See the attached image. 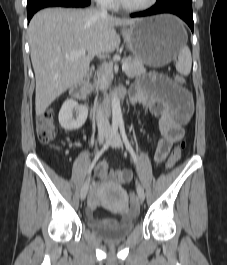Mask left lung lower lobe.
<instances>
[{
  "instance_id": "obj_1",
  "label": "left lung lower lobe",
  "mask_w": 227,
  "mask_h": 265,
  "mask_svg": "<svg viewBox=\"0 0 227 265\" xmlns=\"http://www.w3.org/2000/svg\"><path fill=\"white\" fill-rule=\"evenodd\" d=\"M161 13H171L183 19L193 31V16H192V3L183 1H168L163 3H156L150 9L133 13L131 17H143Z\"/></svg>"
}]
</instances>
